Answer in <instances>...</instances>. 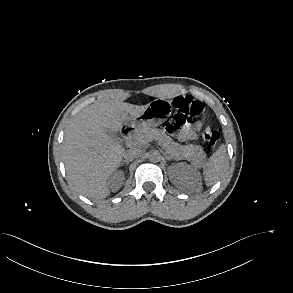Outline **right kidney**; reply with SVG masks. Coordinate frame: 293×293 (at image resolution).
<instances>
[{
    "instance_id": "1",
    "label": "right kidney",
    "mask_w": 293,
    "mask_h": 293,
    "mask_svg": "<svg viewBox=\"0 0 293 293\" xmlns=\"http://www.w3.org/2000/svg\"><path fill=\"white\" fill-rule=\"evenodd\" d=\"M119 179V180H122L124 178L122 172H116L114 175H113V179Z\"/></svg>"
}]
</instances>
